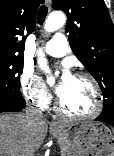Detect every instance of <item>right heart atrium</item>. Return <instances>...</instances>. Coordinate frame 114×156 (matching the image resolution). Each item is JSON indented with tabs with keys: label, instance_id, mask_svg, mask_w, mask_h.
Segmentation results:
<instances>
[{
	"label": "right heart atrium",
	"instance_id": "d8ad5b80",
	"mask_svg": "<svg viewBox=\"0 0 114 156\" xmlns=\"http://www.w3.org/2000/svg\"><path fill=\"white\" fill-rule=\"evenodd\" d=\"M19 85L22 95L30 104L40 108L49 104L51 97L32 69L24 68L22 70Z\"/></svg>",
	"mask_w": 114,
	"mask_h": 156
}]
</instances>
